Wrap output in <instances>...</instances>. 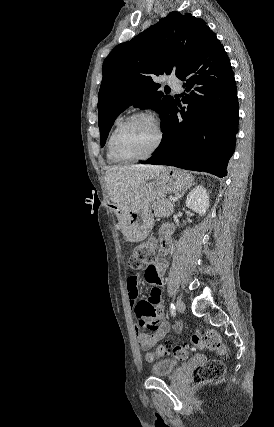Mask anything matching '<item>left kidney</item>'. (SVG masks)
I'll return each instance as SVG.
<instances>
[{
  "label": "left kidney",
  "mask_w": 274,
  "mask_h": 427,
  "mask_svg": "<svg viewBox=\"0 0 274 427\" xmlns=\"http://www.w3.org/2000/svg\"><path fill=\"white\" fill-rule=\"evenodd\" d=\"M185 204L187 208H190L193 212H197V214H206L209 208L207 190H205L203 186H196V188H193L192 192L188 194Z\"/></svg>",
  "instance_id": "obj_1"
}]
</instances>
